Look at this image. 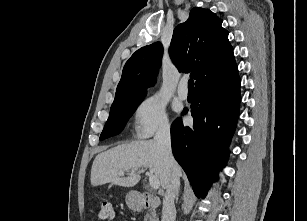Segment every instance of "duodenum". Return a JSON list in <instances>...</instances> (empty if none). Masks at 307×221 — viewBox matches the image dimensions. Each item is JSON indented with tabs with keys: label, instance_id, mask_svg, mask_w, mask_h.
Wrapping results in <instances>:
<instances>
[{
	"label": "duodenum",
	"instance_id": "duodenum-1",
	"mask_svg": "<svg viewBox=\"0 0 307 221\" xmlns=\"http://www.w3.org/2000/svg\"><path fill=\"white\" fill-rule=\"evenodd\" d=\"M134 208L137 210L154 209L159 206L160 200L153 196L135 194L133 196Z\"/></svg>",
	"mask_w": 307,
	"mask_h": 221
}]
</instances>
